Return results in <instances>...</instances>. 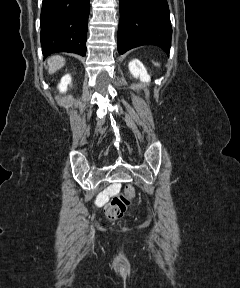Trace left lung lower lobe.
<instances>
[{"mask_svg":"<svg viewBox=\"0 0 240 288\" xmlns=\"http://www.w3.org/2000/svg\"><path fill=\"white\" fill-rule=\"evenodd\" d=\"M120 23L117 48L120 54L141 46L157 45L170 51L172 27L167 0H119Z\"/></svg>","mask_w":240,"mask_h":288,"instance_id":"0a47b994","label":"left lung lower lobe"}]
</instances>
